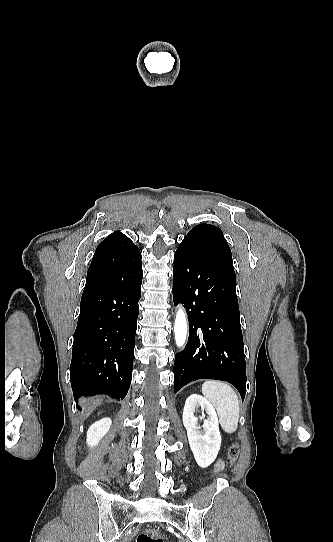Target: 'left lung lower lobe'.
<instances>
[{
	"label": "left lung lower lobe",
	"instance_id": "left-lung-lower-lobe-1",
	"mask_svg": "<svg viewBox=\"0 0 333 542\" xmlns=\"http://www.w3.org/2000/svg\"><path fill=\"white\" fill-rule=\"evenodd\" d=\"M235 272L180 243L174 256L173 300L184 304L189 340L175 355L174 392L197 379L231 383L242 399L246 369Z\"/></svg>",
	"mask_w": 333,
	"mask_h": 542
}]
</instances>
